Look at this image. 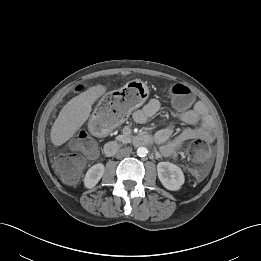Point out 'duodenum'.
<instances>
[{"label": "duodenum", "instance_id": "obj_1", "mask_svg": "<svg viewBox=\"0 0 261 261\" xmlns=\"http://www.w3.org/2000/svg\"><path fill=\"white\" fill-rule=\"evenodd\" d=\"M154 139L144 133L137 134L133 137V144L136 146H147L151 145ZM119 149V144L115 141H110L104 146V153L106 156H113Z\"/></svg>", "mask_w": 261, "mask_h": 261}]
</instances>
